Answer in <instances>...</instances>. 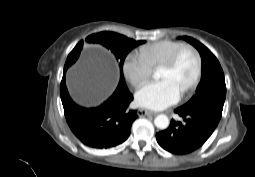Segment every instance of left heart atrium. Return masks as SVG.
Here are the masks:
<instances>
[{
	"label": "left heart atrium",
	"mask_w": 255,
	"mask_h": 177,
	"mask_svg": "<svg viewBox=\"0 0 255 177\" xmlns=\"http://www.w3.org/2000/svg\"><path fill=\"white\" fill-rule=\"evenodd\" d=\"M181 92L169 80L150 81L142 85L136 93L138 105L162 110L175 104Z\"/></svg>",
	"instance_id": "obj_1"
}]
</instances>
